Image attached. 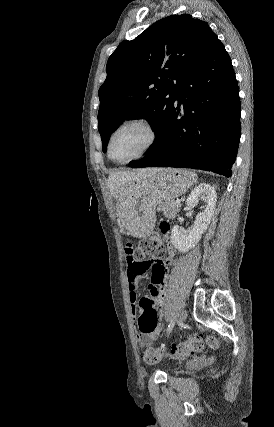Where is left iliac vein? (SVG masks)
Listing matches in <instances>:
<instances>
[{
	"label": "left iliac vein",
	"mask_w": 274,
	"mask_h": 427,
	"mask_svg": "<svg viewBox=\"0 0 274 427\" xmlns=\"http://www.w3.org/2000/svg\"><path fill=\"white\" fill-rule=\"evenodd\" d=\"M186 318H187V312L185 309H182L181 313L179 315V321H178L179 325L183 324L185 322Z\"/></svg>",
	"instance_id": "obj_1"
}]
</instances>
